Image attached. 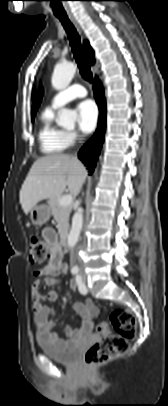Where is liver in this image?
<instances>
[{"mask_svg":"<svg viewBox=\"0 0 168 406\" xmlns=\"http://www.w3.org/2000/svg\"><path fill=\"white\" fill-rule=\"evenodd\" d=\"M86 176L84 165L74 156L51 154L37 159L20 190L24 213L42 200L60 196L66 186L71 194H79Z\"/></svg>","mask_w":168,"mask_h":406,"instance_id":"1","label":"liver"}]
</instances>
